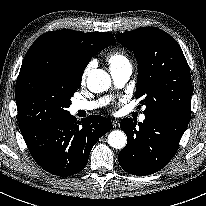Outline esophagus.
Segmentation results:
<instances>
[{"label":"esophagus","instance_id":"34e87169","mask_svg":"<svg viewBox=\"0 0 206 206\" xmlns=\"http://www.w3.org/2000/svg\"><path fill=\"white\" fill-rule=\"evenodd\" d=\"M112 124H113V127H118L119 126V122H118V120H112Z\"/></svg>","mask_w":206,"mask_h":206}]
</instances>
